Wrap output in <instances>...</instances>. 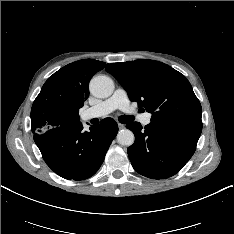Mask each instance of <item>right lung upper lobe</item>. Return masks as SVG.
I'll use <instances>...</instances> for the list:
<instances>
[{
  "label": "right lung upper lobe",
  "instance_id": "right-lung-upper-lobe-1",
  "mask_svg": "<svg viewBox=\"0 0 234 234\" xmlns=\"http://www.w3.org/2000/svg\"><path fill=\"white\" fill-rule=\"evenodd\" d=\"M105 66L94 59L79 60L49 77L32 105V132L80 123L79 109L89 96V81Z\"/></svg>",
  "mask_w": 234,
  "mask_h": 234
}]
</instances>
